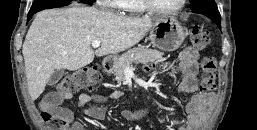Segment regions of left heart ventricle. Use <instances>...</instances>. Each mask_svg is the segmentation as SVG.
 I'll use <instances>...</instances> for the list:
<instances>
[{
    "label": "left heart ventricle",
    "mask_w": 257,
    "mask_h": 130,
    "mask_svg": "<svg viewBox=\"0 0 257 130\" xmlns=\"http://www.w3.org/2000/svg\"><path fill=\"white\" fill-rule=\"evenodd\" d=\"M181 0H153V3L161 9H174L180 4Z\"/></svg>",
    "instance_id": "obj_1"
}]
</instances>
